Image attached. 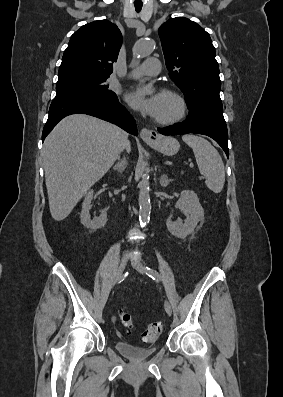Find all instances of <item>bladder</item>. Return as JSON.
Returning <instances> with one entry per match:
<instances>
[{"mask_svg": "<svg viewBox=\"0 0 283 397\" xmlns=\"http://www.w3.org/2000/svg\"><path fill=\"white\" fill-rule=\"evenodd\" d=\"M115 349L121 355L135 361L145 360L154 355L158 350L156 345L150 347H138L125 341L116 342Z\"/></svg>", "mask_w": 283, "mask_h": 397, "instance_id": "1", "label": "bladder"}]
</instances>
